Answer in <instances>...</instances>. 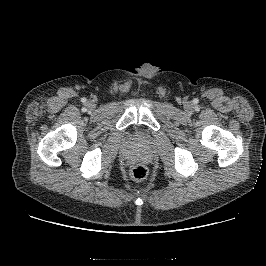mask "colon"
<instances>
[{"label": "colon", "instance_id": "1", "mask_svg": "<svg viewBox=\"0 0 266 266\" xmlns=\"http://www.w3.org/2000/svg\"><path fill=\"white\" fill-rule=\"evenodd\" d=\"M148 175V168L144 164H135L130 169V176L135 181H143Z\"/></svg>", "mask_w": 266, "mask_h": 266}]
</instances>
